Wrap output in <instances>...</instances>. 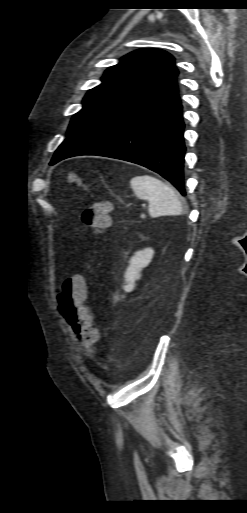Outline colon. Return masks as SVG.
<instances>
[{
  "label": "colon",
  "mask_w": 247,
  "mask_h": 513,
  "mask_svg": "<svg viewBox=\"0 0 247 513\" xmlns=\"http://www.w3.org/2000/svg\"><path fill=\"white\" fill-rule=\"evenodd\" d=\"M112 205L107 202H97L82 213V222L85 228L94 235L104 232L111 223ZM87 298V282L82 275L68 277L62 284L58 295L59 310L64 319L71 326L78 339L86 346L85 355L89 359H96L100 350L93 345L99 336L94 325V318L90 308L85 304Z\"/></svg>",
  "instance_id": "obj_1"
}]
</instances>
